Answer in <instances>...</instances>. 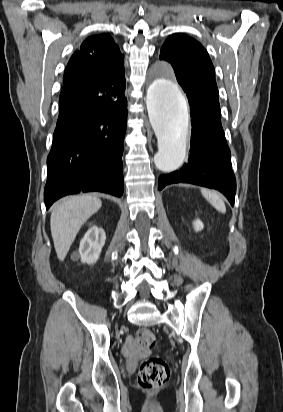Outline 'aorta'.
<instances>
[{
	"label": "aorta",
	"mask_w": 283,
	"mask_h": 412,
	"mask_svg": "<svg viewBox=\"0 0 283 412\" xmlns=\"http://www.w3.org/2000/svg\"><path fill=\"white\" fill-rule=\"evenodd\" d=\"M146 104L158 140L154 163L163 172L174 171L182 165L188 146L185 98L178 85L160 73L148 87Z\"/></svg>",
	"instance_id": "1"
}]
</instances>
